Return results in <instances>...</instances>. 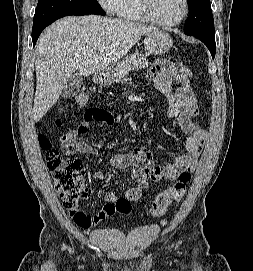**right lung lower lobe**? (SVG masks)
Segmentation results:
<instances>
[{
    "mask_svg": "<svg viewBox=\"0 0 253 271\" xmlns=\"http://www.w3.org/2000/svg\"><path fill=\"white\" fill-rule=\"evenodd\" d=\"M56 21V20H55ZM54 22V21H52ZM52 22L48 23L47 25H45L44 27L36 30V31H32V41H33V46H35V43L40 35V33L43 31V29L48 26L49 24H51Z\"/></svg>",
    "mask_w": 253,
    "mask_h": 271,
    "instance_id": "1",
    "label": "right lung lower lobe"
}]
</instances>
